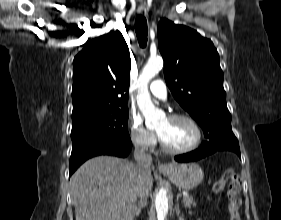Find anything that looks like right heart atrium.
Instances as JSON below:
<instances>
[{
    "label": "right heart atrium",
    "instance_id": "obj_1",
    "mask_svg": "<svg viewBox=\"0 0 281 220\" xmlns=\"http://www.w3.org/2000/svg\"><path fill=\"white\" fill-rule=\"evenodd\" d=\"M128 132L132 144L139 150L149 151L156 145V137L144 126L141 118L132 114L128 120Z\"/></svg>",
    "mask_w": 281,
    "mask_h": 220
}]
</instances>
